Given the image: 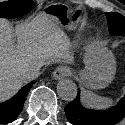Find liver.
<instances>
[{
    "label": "liver",
    "mask_w": 125,
    "mask_h": 125,
    "mask_svg": "<svg viewBox=\"0 0 125 125\" xmlns=\"http://www.w3.org/2000/svg\"><path fill=\"white\" fill-rule=\"evenodd\" d=\"M70 57V44L61 26L45 13L15 29L0 19V102L21 88L25 70L52 59L67 62Z\"/></svg>",
    "instance_id": "liver-1"
}]
</instances>
